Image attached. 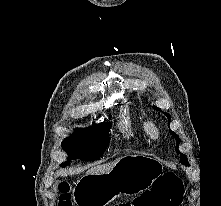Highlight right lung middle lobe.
<instances>
[{
  "label": "right lung middle lobe",
  "mask_w": 221,
  "mask_h": 206,
  "mask_svg": "<svg viewBox=\"0 0 221 206\" xmlns=\"http://www.w3.org/2000/svg\"><path fill=\"white\" fill-rule=\"evenodd\" d=\"M110 126L107 122H102L86 129H76L73 135L62 142L63 150L68 153V162L61 166L65 167L74 159L90 161L100 158L109 143Z\"/></svg>",
  "instance_id": "dd1d6c3e"
}]
</instances>
